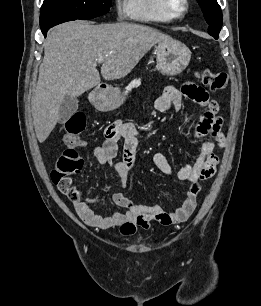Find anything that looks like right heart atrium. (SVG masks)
<instances>
[{"instance_id": "1", "label": "right heart atrium", "mask_w": 261, "mask_h": 306, "mask_svg": "<svg viewBox=\"0 0 261 306\" xmlns=\"http://www.w3.org/2000/svg\"><path fill=\"white\" fill-rule=\"evenodd\" d=\"M114 8L119 18H123L128 14L127 0H114Z\"/></svg>"}]
</instances>
